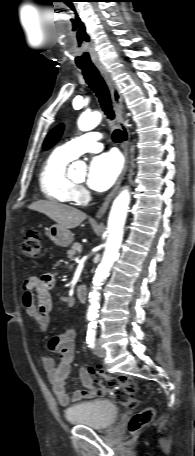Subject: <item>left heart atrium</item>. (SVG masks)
I'll return each mask as SVG.
<instances>
[{"label":"left heart atrium","mask_w":195,"mask_h":456,"mask_svg":"<svg viewBox=\"0 0 195 456\" xmlns=\"http://www.w3.org/2000/svg\"><path fill=\"white\" fill-rule=\"evenodd\" d=\"M122 168L118 154L103 153L92 158L88 167L87 184L94 190H107L117 179Z\"/></svg>","instance_id":"39dd6f15"}]
</instances>
